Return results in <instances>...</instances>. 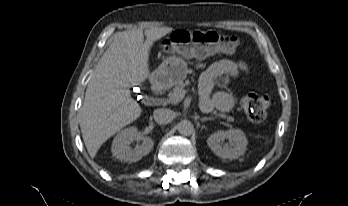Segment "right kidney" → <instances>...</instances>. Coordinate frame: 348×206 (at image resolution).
<instances>
[{"label":"right kidney","instance_id":"right-kidney-1","mask_svg":"<svg viewBox=\"0 0 348 206\" xmlns=\"http://www.w3.org/2000/svg\"><path fill=\"white\" fill-rule=\"evenodd\" d=\"M133 141H142L135 148H131ZM154 142L150 137H146L138 132L136 127H129L117 134L112 143V154L121 161L136 162L147 155L153 148Z\"/></svg>","mask_w":348,"mask_h":206}]
</instances>
